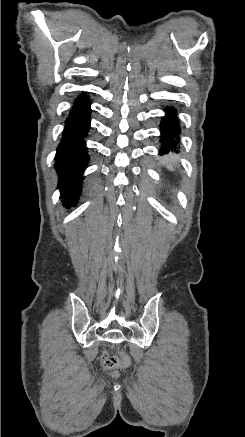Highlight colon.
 Masks as SVG:
<instances>
[{"mask_svg":"<svg viewBox=\"0 0 245 437\" xmlns=\"http://www.w3.org/2000/svg\"><path fill=\"white\" fill-rule=\"evenodd\" d=\"M101 364L105 369H120L127 367L130 364V359L124 353H121L119 356L103 354Z\"/></svg>","mask_w":245,"mask_h":437,"instance_id":"5ec220e1","label":"colon"}]
</instances>
